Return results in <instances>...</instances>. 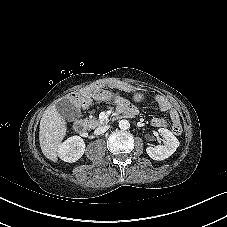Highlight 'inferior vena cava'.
<instances>
[{
    "instance_id": "1",
    "label": "inferior vena cava",
    "mask_w": 227,
    "mask_h": 227,
    "mask_svg": "<svg viewBox=\"0 0 227 227\" xmlns=\"http://www.w3.org/2000/svg\"><path fill=\"white\" fill-rule=\"evenodd\" d=\"M108 129H109L108 125H103V126L96 128L94 133L96 135H100V134H103L104 132H106Z\"/></svg>"
}]
</instances>
